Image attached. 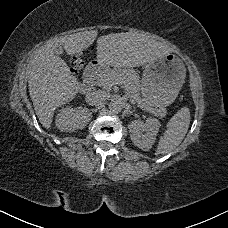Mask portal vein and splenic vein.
I'll use <instances>...</instances> for the list:
<instances>
[{
  "mask_svg": "<svg viewBox=\"0 0 228 228\" xmlns=\"http://www.w3.org/2000/svg\"><path fill=\"white\" fill-rule=\"evenodd\" d=\"M110 83V85H108L109 87L115 83V81L110 80L109 78L106 79V81H104V84Z\"/></svg>",
  "mask_w": 228,
  "mask_h": 228,
  "instance_id": "portal-vein-and-splenic-vein-1",
  "label": "portal vein and splenic vein"
}]
</instances>
